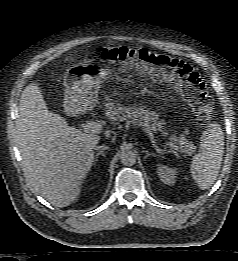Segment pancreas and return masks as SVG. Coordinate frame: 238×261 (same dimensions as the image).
<instances>
[{
    "label": "pancreas",
    "instance_id": "1",
    "mask_svg": "<svg viewBox=\"0 0 238 261\" xmlns=\"http://www.w3.org/2000/svg\"><path fill=\"white\" fill-rule=\"evenodd\" d=\"M104 111L106 117L113 121L132 120L133 122L145 126L148 131L161 129V125L157 123L154 114L143 108L124 106L114 103L113 100L109 99L108 102L105 103ZM162 134L165 136L167 132L163 131ZM171 140L177 142L182 153L186 155H192L196 150V146L193 142L187 140L183 135L179 137L173 136Z\"/></svg>",
    "mask_w": 238,
    "mask_h": 261
}]
</instances>
